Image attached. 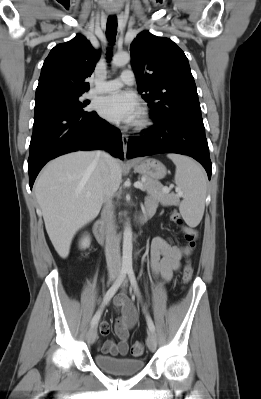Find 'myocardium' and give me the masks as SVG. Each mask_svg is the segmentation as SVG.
I'll list each match as a JSON object with an SVG mask.
<instances>
[{
  "mask_svg": "<svg viewBox=\"0 0 261 399\" xmlns=\"http://www.w3.org/2000/svg\"><path fill=\"white\" fill-rule=\"evenodd\" d=\"M148 124H149L148 119L144 117L136 123V129L143 130L148 126Z\"/></svg>",
  "mask_w": 261,
  "mask_h": 399,
  "instance_id": "1",
  "label": "myocardium"
}]
</instances>
